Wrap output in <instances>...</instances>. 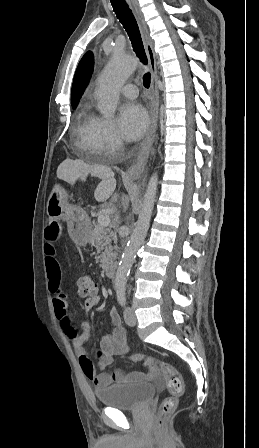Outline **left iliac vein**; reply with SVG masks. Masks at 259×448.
Returning <instances> with one entry per match:
<instances>
[{"label": "left iliac vein", "mask_w": 259, "mask_h": 448, "mask_svg": "<svg viewBox=\"0 0 259 448\" xmlns=\"http://www.w3.org/2000/svg\"><path fill=\"white\" fill-rule=\"evenodd\" d=\"M124 320L128 326H135L136 324V315L132 307L127 306L124 310Z\"/></svg>", "instance_id": "1"}]
</instances>
